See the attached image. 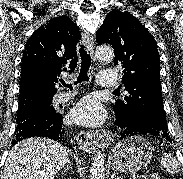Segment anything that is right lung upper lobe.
<instances>
[{
	"label": "right lung upper lobe",
	"instance_id": "obj_1",
	"mask_svg": "<svg viewBox=\"0 0 183 179\" xmlns=\"http://www.w3.org/2000/svg\"><path fill=\"white\" fill-rule=\"evenodd\" d=\"M79 27L63 15L49 20L28 39L22 57L20 95L55 94L62 71L77 66Z\"/></svg>",
	"mask_w": 183,
	"mask_h": 179
}]
</instances>
